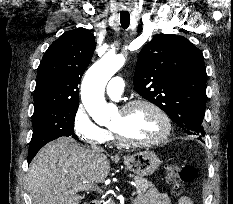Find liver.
<instances>
[{
  "mask_svg": "<svg viewBox=\"0 0 233 204\" xmlns=\"http://www.w3.org/2000/svg\"><path fill=\"white\" fill-rule=\"evenodd\" d=\"M110 172L104 154L86 149L70 137L46 144L28 169V190L33 204H80L74 189L103 183Z\"/></svg>",
  "mask_w": 233,
  "mask_h": 204,
  "instance_id": "1",
  "label": "liver"
}]
</instances>
